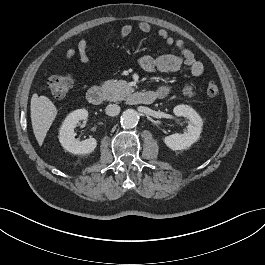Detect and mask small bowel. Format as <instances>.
Masks as SVG:
<instances>
[{"instance_id": "obj_1", "label": "small bowel", "mask_w": 265, "mask_h": 265, "mask_svg": "<svg viewBox=\"0 0 265 265\" xmlns=\"http://www.w3.org/2000/svg\"><path fill=\"white\" fill-rule=\"evenodd\" d=\"M139 30L143 33H149L151 31V25L147 22H141L139 24ZM131 32L132 26L126 24L122 26L120 36L122 38H126L131 34ZM157 35L168 46L176 48L178 53L164 54L158 57L144 55L138 60V64L142 70L146 72L159 71L168 73L178 71L181 67H186L193 77H199L203 74V63L196 59L194 53L186 46L183 40L175 39L165 29L158 30ZM87 46V41L85 39H80L76 48H69L66 51V57L71 59L76 55V53H78L81 63L88 64L90 60L87 55ZM169 92L170 87L166 84L159 85L153 90V93H155L158 98H164L169 94ZM183 93L186 96L191 97L195 94V87L191 83L187 82L183 86Z\"/></svg>"}]
</instances>
